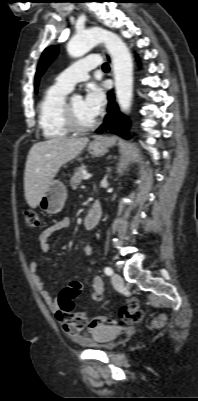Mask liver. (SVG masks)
<instances>
[{"label": "liver", "mask_w": 198, "mask_h": 401, "mask_svg": "<svg viewBox=\"0 0 198 401\" xmlns=\"http://www.w3.org/2000/svg\"><path fill=\"white\" fill-rule=\"evenodd\" d=\"M88 141L87 137H55L31 147L24 173L25 198L31 208L38 206L61 166L76 158Z\"/></svg>", "instance_id": "obj_1"}]
</instances>
